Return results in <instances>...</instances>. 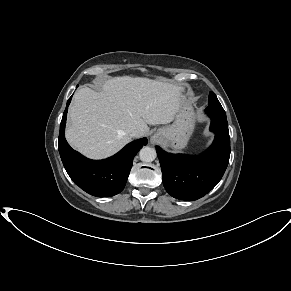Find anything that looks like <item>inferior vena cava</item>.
<instances>
[{
    "label": "inferior vena cava",
    "instance_id": "obj_1",
    "mask_svg": "<svg viewBox=\"0 0 291 291\" xmlns=\"http://www.w3.org/2000/svg\"><path fill=\"white\" fill-rule=\"evenodd\" d=\"M130 136L131 137H141L142 132L140 130L134 129L131 131Z\"/></svg>",
    "mask_w": 291,
    "mask_h": 291
}]
</instances>
